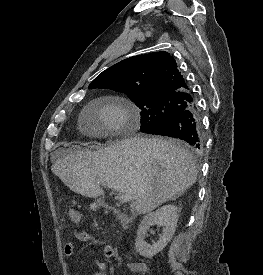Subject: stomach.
Segmentation results:
<instances>
[{"label":"stomach","instance_id":"stomach-1","mask_svg":"<svg viewBox=\"0 0 263 275\" xmlns=\"http://www.w3.org/2000/svg\"><path fill=\"white\" fill-rule=\"evenodd\" d=\"M91 208H92V209H96V208H97V204H96V203L91 204Z\"/></svg>","mask_w":263,"mask_h":275}]
</instances>
